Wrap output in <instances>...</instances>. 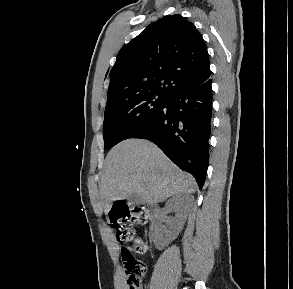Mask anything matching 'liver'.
<instances>
[{
    "instance_id": "obj_1",
    "label": "liver",
    "mask_w": 293,
    "mask_h": 289,
    "mask_svg": "<svg viewBox=\"0 0 293 289\" xmlns=\"http://www.w3.org/2000/svg\"><path fill=\"white\" fill-rule=\"evenodd\" d=\"M196 186L194 178L181 171L155 144L127 139L109 151L99 189L105 202L136 193L143 203L156 204L175 194L194 193Z\"/></svg>"
}]
</instances>
